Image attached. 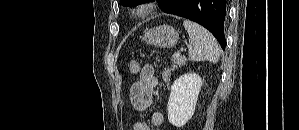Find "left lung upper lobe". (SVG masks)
Instances as JSON below:
<instances>
[{
    "mask_svg": "<svg viewBox=\"0 0 299 130\" xmlns=\"http://www.w3.org/2000/svg\"><path fill=\"white\" fill-rule=\"evenodd\" d=\"M123 6H135L140 3L151 1V0H120ZM164 0H158L159 3L163 2Z\"/></svg>",
    "mask_w": 299,
    "mask_h": 130,
    "instance_id": "5c2ea615",
    "label": "left lung upper lobe"
}]
</instances>
